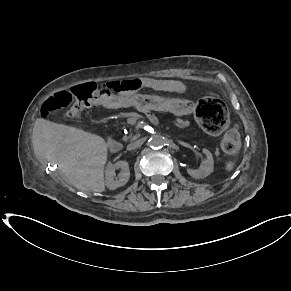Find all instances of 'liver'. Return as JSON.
Returning <instances> with one entry per match:
<instances>
[{"label":"liver","instance_id":"1","mask_svg":"<svg viewBox=\"0 0 291 291\" xmlns=\"http://www.w3.org/2000/svg\"><path fill=\"white\" fill-rule=\"evenodd\" d=\"M32 144L36 157L57 164L64 179L72 186L81 191L105 190L104 166L108 148L102 137L38 118Z\"/></svg>","mask_w":291,"mask_h":291}]
</instances>
